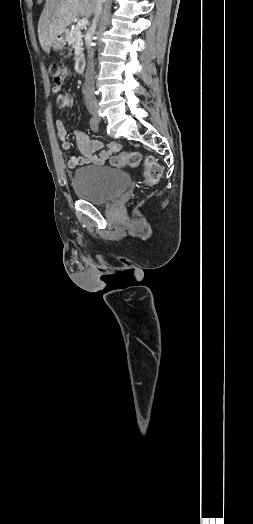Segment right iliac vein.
Instances as JSON below:
<instances>
[{
	"label": "right iliac vein",
	"mask_w": 253,
	"mask_h": 524,
	"mask_svg": "<svg viewBox=\"0 0 253 524\" xmlns=\"http://www.w3.org/2000/svg\"><path fill=\"white\" fill-rule=\"evenodd\" d=\"M90 112H91V114H92L94 117H97V110H96V109H91Z\"/></svg>",
	"instance_id": "obj_1"
}]
</instances>
